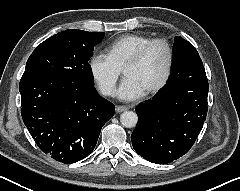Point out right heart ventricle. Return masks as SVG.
<instances>
[{"label": "right heart ventricle", "mask_w": 240, "mask_h": 191, "mask_svg": "<svg viewBox=\"0 0 240 191\" xmlns=\"http://www.w3.org/2000/svg\"><path fill=\"white\" fill-rule=\"evenodd\" d=\"M151 39H153L151 36L143 34L123 35L108 45L107 55L121 70L139 48Z\"/></svg>", "instance_id": "obj_1"}]
</instances>
